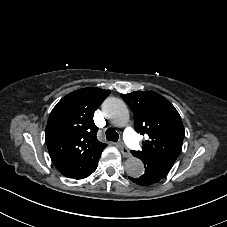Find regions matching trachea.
I'll list each match as a JSON object with an SVG mask.
<instances>
[{"label": "trachea", "mask_w": 227, "mask_h": 227, "mask_svg": "<svg viewBox=\"0 0 227 227\" xmlns=\"http://www.w3.org/2000/svg\"><path fill=\"white\" fill-rule=\"evenodd\" d=\"M105 134H106V139L109 141H118L119 139L118 133L112 128H108Z\"/></svg>", "instance_id": "obj_1"}]
</instances>
